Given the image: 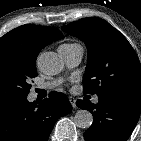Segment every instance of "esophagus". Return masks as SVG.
<instances>
[{
  "instance_id": "1",
  "label": "esophagus",
  "mask_w": 141,
  "mask_h": 141,
  "mask_svg": "<svg viewBox=\"0 0 141 141\" xmlns=\"http://www.w3.org/2000/svg\"><path fill=\"white\" fill-rule=\"evenodd\" d=\"M69 101H70V103H71V105H72L73 108H76L77 107L76 100H75L74 97H69Z\"/></svg>"
}]
</instances>
